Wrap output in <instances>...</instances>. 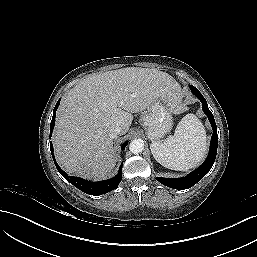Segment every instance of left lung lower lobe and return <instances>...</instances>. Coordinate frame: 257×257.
<instances>
[{
    "mask_svg": "<svg viewBox=\"0 0 257 257\" xmlns=\"http://www.w3.org/2000/svg\"><path fill=\"white\" fill-rule=\"evenodd\" d=\"M192 93L201 101L202 103V109L204 113L208 116V119L211 123V126L213 128V135L211 138L210 143V150L207 159L205 162L197 168L195 171H193L191 174H189L186 177L182 178H163V177H157V180L161 182L162 184L171 187L173 189H188L195 185L198 181H200L212 168L216 154H217V146H218V135H217V126L215 123V119L213 117V114L208 108L207 102L205 98L202 96V94L199 92L197 88L191 89Z\"/></svg>",
    "mask_w": 257,
    "mask_h": 257,
    "instance_id": "obj_1",
    "label": "left lung lower lobe"
}]
</instances>
